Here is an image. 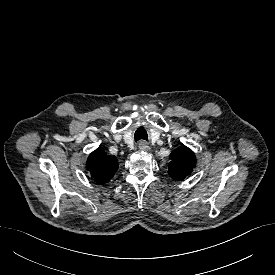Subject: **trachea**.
Instances as JSON below:
<instances>
[{
	"label": "trachea",
	"mask_w": 275,
	"mask_h": 275,
	"mask_svg": "<svg viewBox=\"0 0 275 275\" xmlns=\"http://www.w3.org/2000/svg\"><path fill=\"white\" fill-rule=\"evenodd\" d=\"M134 139L136 142L141 139L148 140V135H147L146 130L143 127H139L135 132Z\"/></svg>",
	"instance_id": "obj_1"
}]
</instances>
